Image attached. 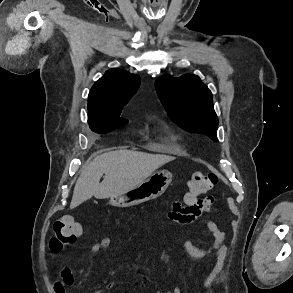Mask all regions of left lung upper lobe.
<instances>
[{
    "mask_svg": "<svg viewBox=\"0 0 293 293\" xmlns=\"http://www.w3.org/2000/svg\"><path fill=\"white\" fill-rule=\"evenodd\" d=\"M159 98L171 119L190 132L203 133L217 141L218 118L212 93L196 75L173 78L163 75L155 82Z\"/></svg>",
    "mask_w": 293,
    "mask_h": 293,
    "instance_id": "left-lung-upper-lobe-1",
    "label": "left lung upper lobe"
}]
</instances>
